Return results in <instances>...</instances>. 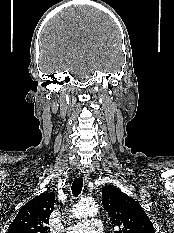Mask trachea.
<instances>
[{
  "instance_id": "trachea-1",
  "label": "trachea",
  "mask_w": 174,
  "mask_h": 233,
  "mask_svg": "<svg viewBox=\"0 0 174 233\" xmlns=\"http://www.w3.org/2000/svg\"><path fill=\"white\" fill-rule=\"evenodd\" d=\"M72 194L77 197L83 188V178H75V180L72 183Z\"/></svg>"
}]
</instances>
